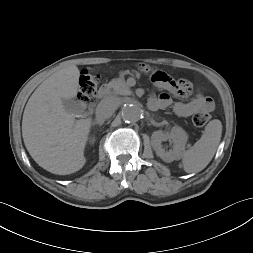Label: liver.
I'll use <instances>...</instances> for the list:
<instances>
[{"label":"liver","mask_w":253,"mask_h":253,"mask_svg":"<svg viewBox=\"0 0 253 253\" xmlns=\"http://www.w3.org/2000/svg\"><path fill=\"white\" fill-rule=\"evenodd\" d=\"M79 76L76 65L54 72L37 87L24 109L26 149L40 167L53 174L68 175L86 163L84 150L92 121L75 120L62 103V99L77 97Z\"/></svg>","instance_id":"1"}]
</instances>
